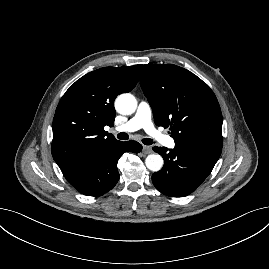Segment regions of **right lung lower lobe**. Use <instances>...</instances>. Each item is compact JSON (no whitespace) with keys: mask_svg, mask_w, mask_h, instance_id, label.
<instances>
[{"mask_svg":"<svg viewBox=\"0 0 269 269\" xmlns=\"http://www.w3.org/2000/svg\"><path fill=\"white\" fill-rule=\"evenodd\" d=\"M142 145L136 141H118L62 172L67 181L80 193L101 196L111 190L119 179L118 159L124 152L139 153Z\"/></svg>","mask_w":269,"mask_h":269,"instance_id":"98d812e1","label":"right lung lower lobe"}]
</instances>
